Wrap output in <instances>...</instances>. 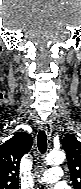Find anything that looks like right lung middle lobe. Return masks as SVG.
<instances>
[{"label": "right lung middle lobe", "mask_w": 81, "mask_h": 189, "mask_svg": "<svg viewBox=\"0 0 81 189\" xmlns=\"http://www.w3.org/2000/svg\"><path fill=\"white\" fill-rule=\"evenodd\" d=\"M2 189H18V187H4Z\"/></svg>", "instance_id": "right-lung-middle-lobe-1"}]
</instances>
